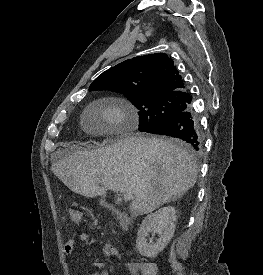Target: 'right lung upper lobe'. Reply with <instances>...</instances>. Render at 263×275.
<instances>
[{"instance_id": "1", "label": "right lung upper lobe", "mask_w": 263, "mask_h": 275, "mask_svg": "<svg viewBox=\"0 0 263 275\" xmlns=\"http://www.w3.org/2000/svg\"><path fill=\"white\" fill-rule=\"evenodd\" d=\"M90 88L121 89L134 95H188L170 57L155 53L128 59L103 72Z\"/></svg>"}]
</instances>
